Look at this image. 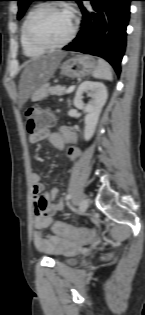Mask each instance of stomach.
I'll return each instance as SVG.
<instances>
[{
    "label": "stomach",
    "instance_id": "obj_1",
    "mask_svg": "<svg viewBox=\"0 0 145 315\" xmlns=\"http://www.w3.org/2000/svg\"><path fill=\"white\" fill-rule=\"evenodd\" d=\"M97 67L96 60L88 55H77L61 65L62 73L70 78H79L91 74Z\"/></svg>",
    "mask_w": 145,
    "mask_h": 315
}]
</instances>
